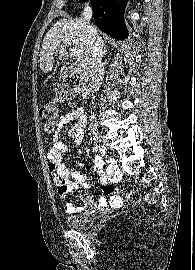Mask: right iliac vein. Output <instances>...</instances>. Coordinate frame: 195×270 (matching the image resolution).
<instances>
[{"label":"right iliac vein","instance_id":"right-iliac-vein-1","mask_svg":"<svg viewBox=\"0 0 195 270\" xmlns=\"http://www.w3.org/2000/svg\"><path fill=\"white\" fill-rule=\"evenodd\" d=\"M93 139L95 141V145L99 149L102 156H105L106 154V146L105 143L101 137V135L98 132L93 133Z\"/></svg>","mask_w":195,"mask_h":270}]
</instances>
